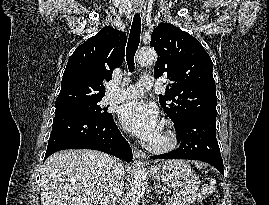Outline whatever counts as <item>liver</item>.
I'll use <instances>...</instances> for the list:
<instances>
[{"instance_id":"1","label":"liver","mask_w":269,"mask_h":205,"mask_svg":"<svg viewBox=\"0 0 269 205\" xmlns=\"http://www.w3.org/2000/svg\"><path fill=\"white\" fill-rule=\"evenodd\" d=\"M111 157L95 150L51 155L41 176V205H98Z\"/></svg>"}]
</instances>
